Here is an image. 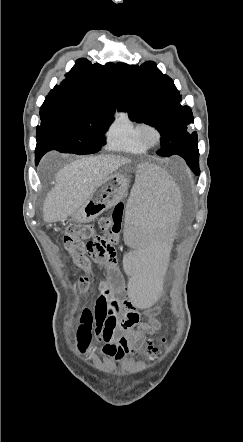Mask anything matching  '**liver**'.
<instances>
[{
  "mask_svg": "<svg viewBox=\"0 0 243 442\" xmlns=\"http://www.w3.org/2000/svg\"><path fill=\"white\" fill-rule=\"evenodd\" d=\"M129 159L116 155L80 157L60 169L56 185L46 196L43 219L48 223L63 221L79 209L102 181Z\"/></svg>",
  "mask_w": 243,
  "mask_h": 442,
  "instance_id": "liver-1",
  "label": "liver"
}]
</instances>
